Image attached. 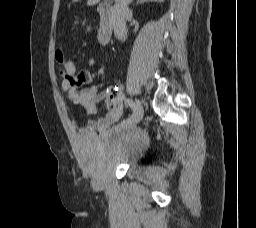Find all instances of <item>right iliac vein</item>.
<instances>
[{
  "label": "right iliac vein",
  "mask_w": 256,
  "mask_h": 228,
  "mask_svg": "<svg viewBox=\"0 0 256 228\" xmlns=\"http://www.w3.org/2000/svg\"><path fill=\"white\" fill-rule=\"evenodd\" d=\"M142 117H143V106L139 100H136L134 112L130 119V124L131 125L137 124L142 119Z\"/></svg>",
  "instance_id": "1"
}]
</instances>
